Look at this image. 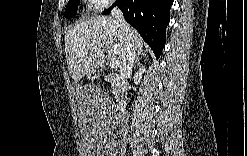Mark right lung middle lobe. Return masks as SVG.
<instances>
[{"label":"right lung middle lobe","mask_w":247,"mask_h":156,"mask_svg":"<svg viewBox=\"0 0 247 156\" xmlns=\"http://www.w3.org/2000/svg\"><path fill=\"white\" fill-rule=\"evenodd\" d=\"M78 4L79 0H71L68 2L64 13L66 18H70L77 14Z\"/></svg>","instance_id":"obj_1"}]
</instances>
